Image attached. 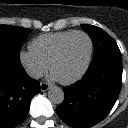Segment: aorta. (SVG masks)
I'll return each instance as SVG.
<instances>
[{
	"label": "aorta",
	"mask_w": 128,
	"mask_h": 128,
	"mask_svg": "<svg viewBox=\"0 0 128 128\" xmlns=\"http://www.w3.org/2000/svg\"><path fill=\"white\" fill-rule=\"evenodd\" d=\"M48 99L54 104H61L64 100V92L59 87H52L48 91Z\"/></svg>",
	"instance_id": "1"
}]
</instances>
